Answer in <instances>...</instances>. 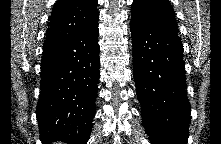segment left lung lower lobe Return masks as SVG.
I'll use <instances>...</instances> for the list:
<instances>
[{"label":"left lung lower lobe","mask_w":221,"mask_h":144,"mask_svg":"<svg viewBox=\"0 0 221 144\" xmlns=\"http://www.w3.org/2000/svg\"><path fill=\"white\" fill-rule=\"evenodd\" d=\"M134 80L151 144H186L190 103L177 33L131 20Z\"/></svg>","instance_id":"1"}]
</instances>
